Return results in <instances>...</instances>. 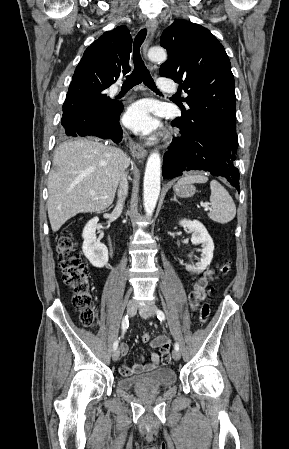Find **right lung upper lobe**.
<instances>
[{
    "instance_id": "1",
    "label": "right lung upper lobe",
    "mask_w": 289,
    "mask_h": 449,
    "mask_svg": "<svg viewBox=\"0 0 289 449\" xmlns=\"http://www.w3.org/2000/svg\"><path fill=\"white\" fill-rule=\"evenodd\" d=\"M132 38L126 26L105 32L84 52L73 75L79 81H91L108 88L131 67L128 64Z\"/></svg>"
}]
</instances>
